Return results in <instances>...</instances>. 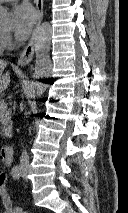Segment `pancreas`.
Here are the masks:
<instances>
[{"label":"pancreas","instance_id":"cf45deb5","mask_svg":"<svg viewBox=\"0 0 128 213\" xmlns=\"http://www.w3.org/2000/svg\"><path fill=\"white\" fill-rule=\"evenodd\" d=\"M0 102H3V101L0 99ZM0 122L2 124L0 134H2L5 137H11L12 136V122H11V110L10 109H6L3 111L0 110Z\"/></svg>","mask_w":128,"mask_h":213}]
</instances>
